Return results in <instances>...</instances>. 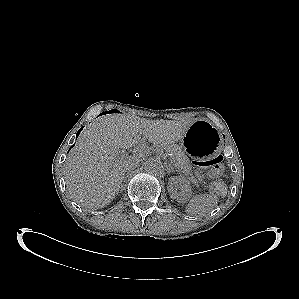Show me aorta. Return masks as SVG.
Segmentation results:
<instances>
[{
    "mask_svg": "<svg viewBox=\"0 0 299 299\" xmlns=\"http://www.w3.org/2000/svg\"><path fill=\"white\" fill-rule=\"evenodd\" d=\"M163 169V164L158 159H150L144 164V170L150 174H159L163 171Z\"/></svg>",
    "mask_w": 299,
    "mask_h": 299,
    "instance_id": "obj_1",
    "label": "aorta"
}]
</instances>
